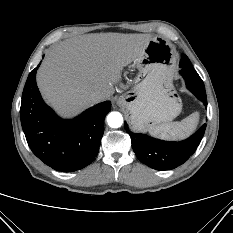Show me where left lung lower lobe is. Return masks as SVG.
<instances>
[{
    "label": "left lung lower lobe",
    "instance_id": "0a47b994",
    "mask_svg": "<svg viewBox=\"0 0 233 233\" xmlns=\"http://www.w3.org/2000/svg\"><path fill=\"white\" fill-rule=\"evenodd\" d=\"M179 67L186 81L187 88L206 106L207 98L204 84L198 82L199 75L184 54ZM124 125L131 137L132 147L137 158L142 163L156 170L174 169L186 162L196 151L206 129V124H204L195 134L184 141L167 142L144 134L133 133L129 130L126 122Z\"/></svg>",
    "mask_w": 233,
    "mask_h": 233
}]
</instances>
